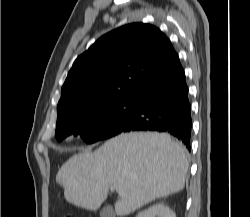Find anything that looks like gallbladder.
I'll return each instance as SVG.
<instances>
[{"mask_svg":"<svg viewBox=\"0 0 250 217\" xmlns=\"http://www.w3.org/2000/svg\"><path fill=\"white\" fill-rule=\"evenodd\" d=\"M100 216L101 217H115V214L113 212V209L110 206H105L101 211H100Z\"/></svg>","mask_w":250,"mask_h":217,"instance_id":"1","label":"gallbladder"}]
</instances>
